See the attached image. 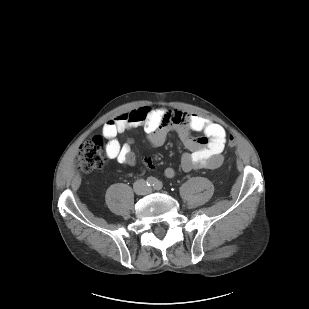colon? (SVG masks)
Masks as SVG:
<instances>
[{"instance_id": "5ec220e1", "label": "colon", "mask_w": 309, "mask_h": 309, "mask_svg": "<svg viewBox=\"0 0 309 309\" xmlns=\"http://www.w3.org/2000/svg\"><path fill=\"white\" fill-rule=\"evenodd\" d=\"M236 145L234 136L229 138V146ZM106 152L102 136H95L90 141L83 143L78 151L76 167L84 173H90L101 169L106 164Z\"/></svg>"}]
</instances>
